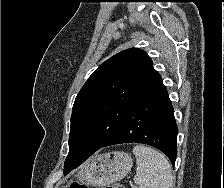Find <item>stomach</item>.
<instances>
[{
	"label": "stomach",
	"mask_w": 224,
	"mask_h": 188,
	"mask_svg": "<svg viewBox=\"0 0 224 188\" xmlns=\"http://www.w3.org/2000/svg\"><path fill=\"white\" fill-rule=\"evenodd\" d=\"M132 165L133 160L128 153L106 152L87 160L75 177L79 183L87 186H105L123 179L131 171Z\"/></svg>",
	"instance_id": "obj_1"
}]
</instances>
